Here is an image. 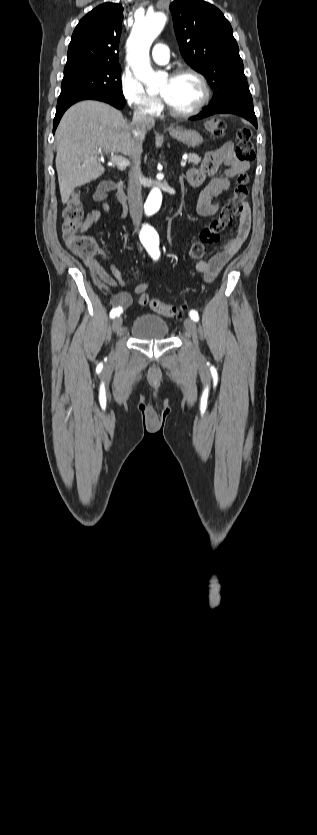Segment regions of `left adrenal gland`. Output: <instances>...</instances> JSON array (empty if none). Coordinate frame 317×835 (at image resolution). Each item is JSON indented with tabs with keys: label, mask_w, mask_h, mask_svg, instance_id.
<instances>
[{
	"label": "left adrenal gland",
	"mask_w": 317,
	"mask_h": 835,
	"mask_svg": "<svg viewBox=\"0 0 317 835\" xmlns=\"http://www.w3.org/2000/svg\"><path fill=\"white\" fill-rule=\"evenodd\" d=\"M182 179H183V175L180 177V181H182Z\"/></svg>",
	"instance_id": "a2214340"
}]
</instances>
